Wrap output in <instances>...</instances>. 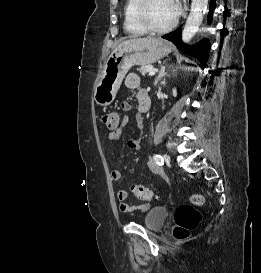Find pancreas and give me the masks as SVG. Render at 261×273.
I'll return each instance as SVG.
<instances>
[{
  "mask_svg": "<svg viewBox=\"0 0 261 273\" xmlns=\"http://www.w3.org/2000/svg\"><path fill=\"white\" fill-rule=\"evenodd\" d=\"M154 69L153 66L151 65H142L140 68H138L137 70L141 73V75H146L147 73H149L150 71H152Z\"/></svg>",
  "mask_w": 261,
  "mask_h": 273,
  "instance_id": "obj_1",
  "label": "pancreas"
}]
</instances>
